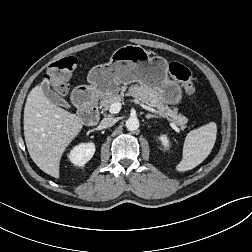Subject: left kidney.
Returning a JSON list of instances; mask_svg holds the SVG:
<instances>
[{"instance_id": "1", "label": "left kidney", "mask_w": 252, "mask_h": 252, "mask_svg": "<svg viewBox=\"0 0 252 252\" xmlns=\"http://www.w3.org/2000/svg\"><path fill=\"white\" fill-rule=\"evenodd\" d=\"M162 145L164 148H169V140L166 135H161L160 138Z\"/></svg>"}]
</instances>
